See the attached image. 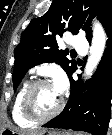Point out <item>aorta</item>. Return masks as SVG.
<instances>
[{
  "label": "aorta",
  "mask_w": 112,
  "mask_h": 135,
  "mask_svg": "<svg viewBox=\"0 0 112 135\" xmlns=\"http://www.w3.org/2000/svg\"><path fill=\"white\" fill-rule=\"evenodd\" d=\"M106 40V33L102 25L99 22H95L93 24V38L90 48V56L88 57L84 70L85 77L89 78L99 64L104 53Z\"/></svg>",
  "instance_id": "762f6f07"
}]
</instances>
